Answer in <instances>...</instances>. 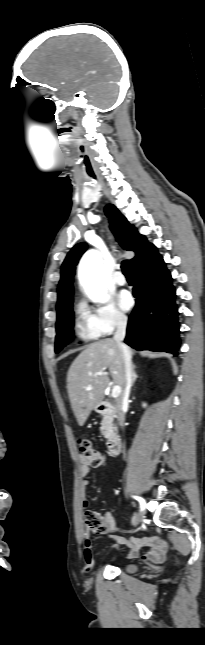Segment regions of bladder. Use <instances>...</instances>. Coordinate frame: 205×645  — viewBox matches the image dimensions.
Wrapping results in <instances>:
<instances>
[{
  "label": "bladder",
  "mask_w": 205,
  "mask_h": 645,
  "mask_svg": "<svg viewBox=\"0 0 205 645\" xmlns=\"http://www.w3.org/2000/svg\"><path fill=\"white\" fill-rule=\"evenodd\" d=\"M137 568H138L137 565L134 564V563H128V564L124 565L125 571H127L129 573L135 572L137 570Z\"/></svg>",
  "instance_id": "1"
}]
</instances>
